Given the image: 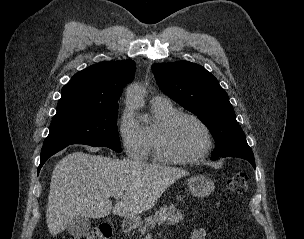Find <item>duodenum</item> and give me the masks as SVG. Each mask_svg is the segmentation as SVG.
<instances>
[{
	"mask_svg": "<svg viewBox=\"0 0 304 239\" xmlns=\"http://www.w3.org/2000/svg\"><path fill=\"white\" fill-rule=\"evenodd\" d=\"M135 225V221L133 219H126L123 221L122 224V231L123 232H129L133 229Z\"/></svg>",
	"mask_w": 304,
	"mask_h": 239,
	"instance_id": "duodenum-1",
	"label": "duodenum"
}]
</instances>
